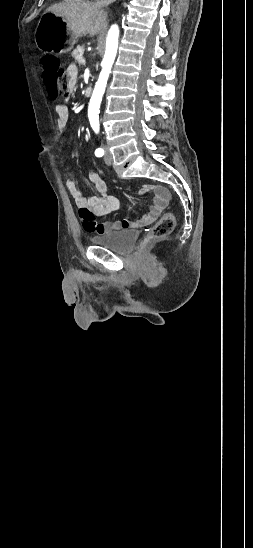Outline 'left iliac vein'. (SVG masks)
Instances as JSON below:
<instances>
[{"instance_id":"4c4485c4","label":"left iliac vein","mask_w":253,"mask_h":548,"mask_svg":"<svg viewBox=\"0 0 253 548\" xmlns=\"http://www.w3.org/2000/svg\"><path fill=\"white\" fill-rule=\"evenodd\" d=\"M104 161L107 165H110L112 163V154L107 146L105 147Z\"/></svg>"}]
</instances>
